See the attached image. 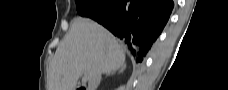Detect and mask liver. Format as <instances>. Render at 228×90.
Wrapping results in <instances>:
<instances>
[{"mask_svg":"<svg viewBox=\"0 0 228 90\" xmlns=\"http://www.w3.org/2000/svg\"><path fill=\"white\" fill-rule=\"evenodd\" d=\"M125 66V54L116 38L96 22L74 19L49 66L48 90H75L84 74L109 73Z\"/></svg>","mask_w":228,"mask_h":90,"instance_id":"1","label":"liver"}]
</instances>
